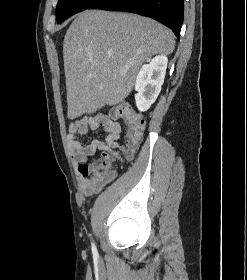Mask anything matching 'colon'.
Listing matches in <instances>:
<instances>
[{
    "label": "colon",
    "mask_w": 247,
    "mask_h": 280,
    "mask_svg": "<svg viewBox=\"0 0 247 280\" xmlns=\"http://www.w3.org/2000/svg\"><path fill=\"white\" fill-rule=\"evenodd\" d=\"M115 114L124 121L127 128L125 138L126 147L121 150L128 156L142 139L145 125L144 120L139 114L132 111L127 104H121L118 106ZM114 150L107 152L103 154L101 158L84 165L83 171L97 179H109L112 175L111 161L118 157V153Z\"/></svg>",
    "instance_id": "5ec220e1"
}]
</instances>
